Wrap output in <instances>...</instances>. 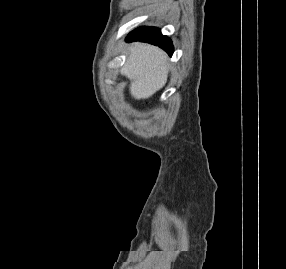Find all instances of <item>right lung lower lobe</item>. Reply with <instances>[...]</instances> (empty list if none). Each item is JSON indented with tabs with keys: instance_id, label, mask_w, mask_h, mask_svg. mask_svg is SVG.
<instances>
[{
	"instance_id": "98d812e1",
	"label": "right lung lower lobe",
	"mask_w": 286,
	"mask_h": 269,
	"mask_svg": "<svg viewBox=\"0 0 286 269\" xmlns=\"http://www.w3.org/2000/svg\"><path fill=\"white\" fill-rule=\"evenodd\" d=\"M127 41H142L157 45L164 49L170 56L173 54V45L171 40L161 34L158 28L154 27H141L132 31Z\"/></svg>"
}]
</instances>
